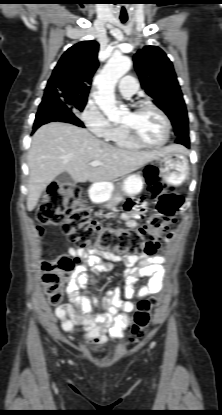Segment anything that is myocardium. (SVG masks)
I'll use <instances>...</instances> for the list:
<instances>
[{"instance_id":"myocardium-1","label":"myocardium","mask_w":222,"mask_h":415,"mask_svg":"<svg viewBox=\"0 0 222 415\" xmlns=\"http://www.w3.org/2000/svg\"><path fill=\"white\" fill-rule=\"evenodd\" d=\"M145 108H151V109L155 110L162 117V119L165 123L166 133H165L164 139L161 142H159V143L146 142L139 136L136 129L132 125L122 124V126L125 129L128 136L130 137V139L135 144L139 145L140 147H144V148H160V147H163L170 140L171 131H172L171 120L168 117V115L159 106L155 105L154 103H152L150 101H146V100H142V101L137 102L134 105V107L132 109V112L137 113V112H139V111H141L142 109H145Z\"/></svg>"}]
</instances>
